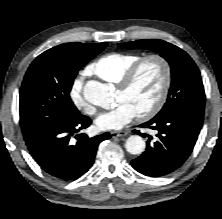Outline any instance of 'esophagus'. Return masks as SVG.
Masks as SVG:
<instances>
[{
  "mask_svg": "<svg viewBox=\"0 0 222 219\" xmlns=\"http://www.w3.org/2000/svg\"><path fill=\"white\" fill-rule=\"evenodd\" d=\"M128 135V131H113L111 132L112 138L121 137Z\"/></svg>",
  "mask_w": 222,
  "mask_h": 219,
  "instance_id": "1",
  "label": "esophagus"
}]
</instances>
